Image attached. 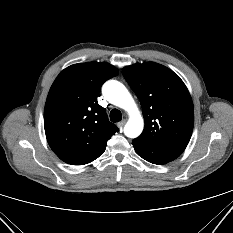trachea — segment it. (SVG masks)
<instances>
[{
	"label": "trachea",
	"instance_id": "obj_1",
	"mask_svg": "<svg viewBox=\"0 0 233 233\" xmlns=\"http://www.w3.org/2000/svg\"><path fill=\"white\" fill-rule=\"evenodd\" d=\"M122 115L118 109H112L110 112V120L114 123L121 121Z\"/></svg>",
	"mask_w": 233,
	"mask_h": 233
}]
</instances>
